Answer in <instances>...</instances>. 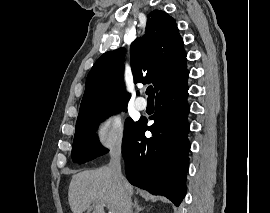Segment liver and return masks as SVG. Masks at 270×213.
I'll list each match as a JSON object with an SVG mask.
<instances>
[{
	"label": "liver",
	"mask_w": 270,
	"mask_h": 213,
	"mask_svg": "<svg viewBox=\"0 0 270 213\" xmlns=\"http://www.w3.org/2000/svg\"><path fill=\"white\" fill-rule=\"evenodd\" d=\"M132 195L133 187L126 180L119 184L107 166L73 175L68 189L72 213H105L104 204L115 213H126Z\"/></svg>",
	"instance_id": "6515ba94"
}]
</instances>
